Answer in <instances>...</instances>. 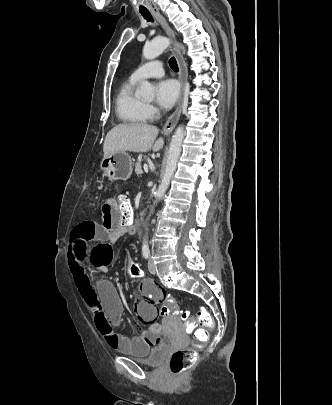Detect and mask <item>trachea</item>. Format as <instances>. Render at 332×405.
Instances as JSON below:
<instances>
[{
	"label": "trachea",
	"mask_w": 332,
	"mask_h": 405,
	"mask_svg": "<svg viewBox=\"0 0 332 405\" xmlns=\"http://www.w3.org/2000/svg\"><path fill=\"white\" fill-rule=\"evenodd\" d=\"M140 13H141V15L147 20V21H152V15L150 14V12L149 11H147V10H141L140 11ZM169 65H170V67H171V69H173L174 71H178L179 69H178V65H177V61H176V59L174 58V57H172L170 60H169Z\"/></svg>",
	"instance_id": "trachea-1"
}]
</instances>
